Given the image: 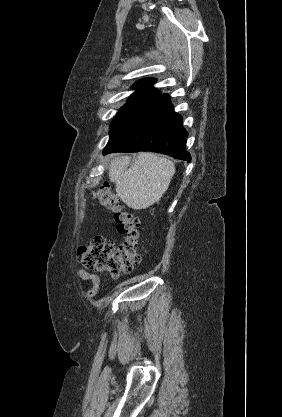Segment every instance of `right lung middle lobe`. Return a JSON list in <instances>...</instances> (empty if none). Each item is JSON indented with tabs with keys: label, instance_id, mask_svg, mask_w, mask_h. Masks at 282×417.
Returning a JSON list of instances; mask_svg holds the SVG:
<instances>
[{
	"label": "right lung middle lobe",
	"instance_id": "1",
	"mask_svg": "<svg viewBox=\"0 0 282 417\" xmlns=\"http://www.w3.org/2000/svg\"><path fill=\"white\" fill-rule=\"evenodd\" d=\"M161 95L134 93L128 102L119 110L111 124L110 138L119 133L131 122L154 104Z\"/></svg>",
	"mask_w": 282,
	"mask_h": 417
}]
</instances>
